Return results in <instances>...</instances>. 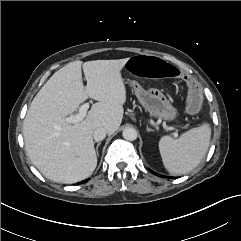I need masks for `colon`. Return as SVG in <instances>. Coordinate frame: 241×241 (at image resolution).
Here are the masks:
<instances>
[{
    "label": "colon",
    "instance_id": "obj_1",
    "mask_svg": "<svg viewBox=\"0 0 241 241\" xmlns=\"http://www.w3.org/2000/svg\"><path fill=\"white\" fill-rule=\"evenodd\" d=\"M125 68L132 73H139L145 77H156L159 79L176 80L181 75V68L178 64L164 60L156 56H149L147 53H140L138 56L129 57L125 61ZM186 87L193 94L188 99V111L197 113L202 104L199 95L200 88L192 81L186 82Z\"/></svg>",
    "mask_w": 241,
    "mask_h": 241
}]
</instances>
